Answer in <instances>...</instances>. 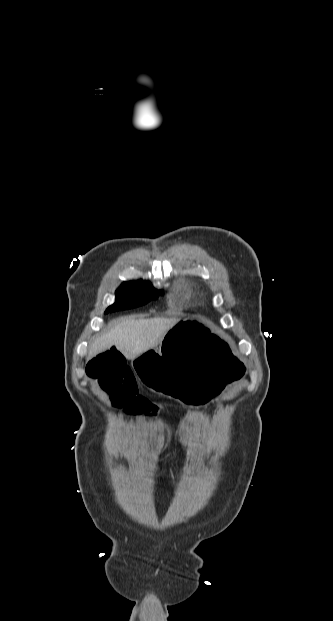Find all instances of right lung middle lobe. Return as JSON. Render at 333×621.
Here are the masks:
<instances>
[{
    "label": "right lung middle lobe",
    "instance_id": "obj_1",
    "mask_svg": "<svg viewBox=\"0 0 333 621\" xmlns=\"http://www.w3.org/2000/svg\"><path fill=\"white\" fill-rule=\"evenodd\" d=\"M162 294L161 290H156L147 281L123 282L116 291V302L105 313L138 307L156 300Z\"/></svg>",
    "mask_w": 333,
    "mask_h": 621
}]
</instances>
